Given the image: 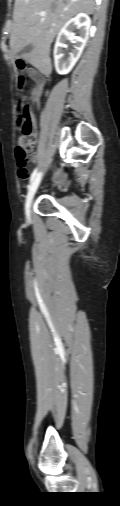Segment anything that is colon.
<instances>
[{"instance_id": "obj_1", "label": "colon", "mask_w": 120, "mask_h": 506, "mask_svg": "<svg viewBox=\"0 0 120 506\" xmlns=\"http://www.w3.org/2000/svg\"><path fill=\"white\" fill-rule=\"evenodd\" d=\"M16 60L19 62L20 69L25 70L26 65L22 62V57L19 56ZM24 83L25 77L22 75L20 77V86L22 87ZM18 111V127L21 134L18 138L15 153L18 160V175L20 178L25 179L29 176L28 155L35 145L34 120L25 97L19 99Z\"/></svg>"}]
</instances>
